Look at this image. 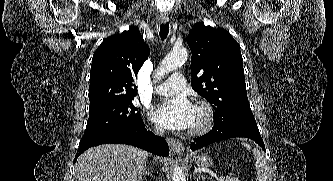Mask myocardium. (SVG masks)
Segmentation results:
<instances>
[{"instance_id":"myocardium-1","label":"myocardium","mask_w":333,"mask_h":181,"mask_svg":"<svg viewBox=\"0 0 333 181\" xmlns=\"http://www.w3.org/2000/svg\"><path fill=\"white\" fill-rule=\"evenodd\" d=\"M194 108L199 111L200 118L198 123L189 129L191 135H199L207 132L214 123V109L212 105L205 101H197Z\"/></svg>"}]
</instances>
